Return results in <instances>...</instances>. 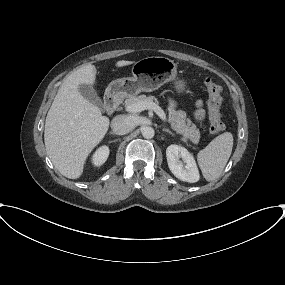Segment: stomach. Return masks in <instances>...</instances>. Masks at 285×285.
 Masks as SVG:
<instances>
[{"instance_id":"0dacf381","label":"stomach","mask_w":285,"mask_h":285,"mask_svg":"<svg viewBox=\"0 0 285 285\" xmlns=\"http://www.w3.org/2000/svg\"><path fill=\"white\" fill-rule=\"evenodd\" d=\"M132 75L112 81L106 92L112 97H128L152 92L168 82H174L178 93L185 91V81L177 79L176 64L166 57L151 56L137 61L132 67Z\"/></svg>"}]
</instances>
